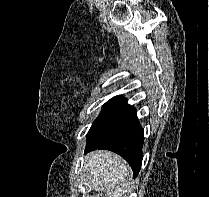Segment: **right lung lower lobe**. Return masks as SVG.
<instances>
[{
    "label": "right lung lower lobe",
    "mask_w": 209,
    "mask_h": 197,
    "mask_svg": "<svg viewBox=\"0 0 209 197\" xmlns=\"http://www.w3.org/2000/svg\"><path fill=\"white\" fill-rule=\"evenodd\" d=\"M143 129L135 109L126 104L95 122L87 134L85 152L108 149L121 155L136 177L142 164Z\"/></svg>",
    "instance_id": "right-lung-lower-lobe-1"
}]
</instances>
